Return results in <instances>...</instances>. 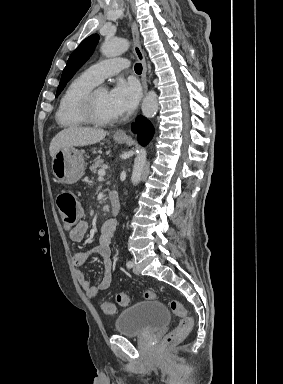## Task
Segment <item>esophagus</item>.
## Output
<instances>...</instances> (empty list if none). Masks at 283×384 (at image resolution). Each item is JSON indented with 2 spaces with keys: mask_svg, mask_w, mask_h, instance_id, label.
Segmentation results:
<instances>
[{
  "mask_svg": "<svg viewBox=\"0 0 283 384\" xmlns=\"http://www.w3.org/2000/svg\"><path fill=\"white\" fill-rule=\"evenodd\" d=\"M132 35H133L134 53H135L137 59L139 60V62H141V64H142L141 82H142V86H143V93L145 95L148 91V85H147V81H146L147 67H146L145 56H144V53L142 51L141 44H140L139 31H138V27H137L136 22L132 23ZM114 136L125 138V137H127V134H126L125 130H117L114 133Z\"/></svg>",
  "mask_w": 283,
  "mask_h": 384,
  "instance_id": "1",
  "label": "esophagus"
}]
</instances>
